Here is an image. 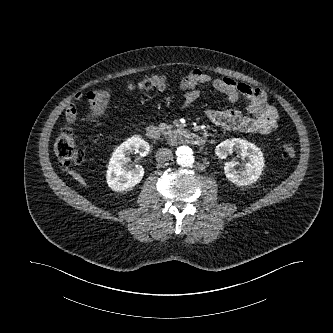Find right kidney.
I'll return each mask as SVG.
<instances>
[{"label": "right kidney", "mask_w": 333, "mask_h": 333, "mask_svg": "<svg viewBox=\"0 0 333 333\" xmlns=\"http://www.w3.org/2000/svg\"><path fill=\"white\" fill-rule=\"evenodd\" d=\"M149 150V144L139 137L128 139L117 147L112 153L107 169L108 186L114 191L121 192L131 190L138 185L144 176V169L142 166L130 169L126 165V155L134 152L139 153L140 157H145Z\"/></svg>", "instance_id": "ca27d5eb"}]
</instances>
